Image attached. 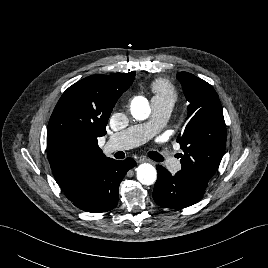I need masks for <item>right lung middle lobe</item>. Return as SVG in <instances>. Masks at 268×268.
Wrapping results in <instances>:
<instances>
[{"instance_id":"obj_1","label":"right lung middle lobe","mask_w":268,"mask_h":268,"mask_svg":"<svg viewBox=\"0 0 268 268\" xmlns=\"http://www.w3.org/2000/svg\"><path fill=\"white\" fill-rule=\"evenodd\" d=\"M57 154L64 159L73 160L79 156L77 149L69 142H62L56 149Z\"/></svg>"}]
</instances>
